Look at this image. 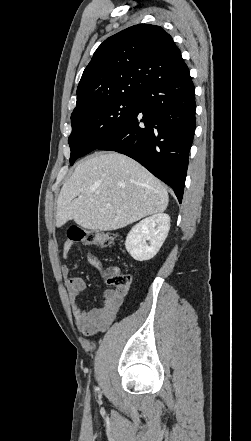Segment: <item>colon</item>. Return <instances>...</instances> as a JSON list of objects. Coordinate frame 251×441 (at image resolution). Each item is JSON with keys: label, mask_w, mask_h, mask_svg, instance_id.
I'll return each mask as SVG.
<instances>
[{"label": "colon", "mask_w": 251, "mask_h": 441, "mask_svg": "<svg viewBox=\"0 0 251 441\" xmlns=\"http://www.w3.org/2000/svg\"><path fill=\"white\" fill-rule=\"evenodd\" d=\"M66 234L69 241L82 242L89 246L110 247L116 241V235L113 233L88 230L78 225L69 226ZM101 274L106 283L115 288L127 289L131 284V276L117 267L104 269Z\"/></svg>", "instance_id": "1"}]
</instances>
